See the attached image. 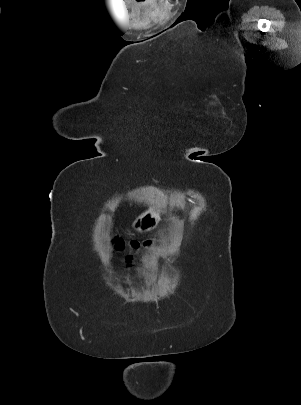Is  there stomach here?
<instances>
[{"label": "stomach", "instance_id": "1", "mask_svg": "<svg viewBox=\"0 0 301 405\" xmlns=\"http://www.w3.org/2000/svg\"><path fill=\"white\" fill-rule=\"evenodd\" d=\"M159 222V216L153 209L146 210L140 216H138L132 226L135 230L138 231H147L151 230Z\"/></svg>", "mask_w": 301, "mask_h": 405}]
</instances>
